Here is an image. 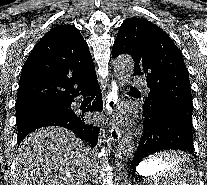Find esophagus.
<instances>
[{
  "label": "esophagus",
  "mask_w": 207,
  "mask_h": 185,
  "mask_svg": "<svg viewBox=\"0 0 207 185\" xmlns=\"http://www.w3.org/2000/svg\"><path fill=\"white\" fill-rule=\"evenodd\" d=\"M118 102V83L116 78H111L110 88L106 97L107 118L110 124V140L117 143L121 137L119 128H123V115L117 110Z\"/></svg>",
  "instance_id": "34e87169"
}]
</instances>
